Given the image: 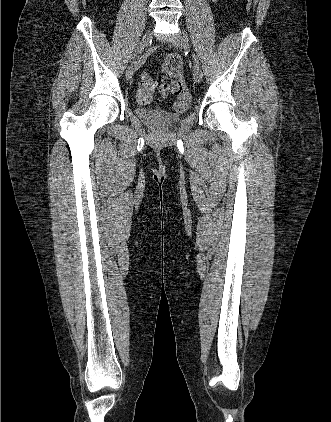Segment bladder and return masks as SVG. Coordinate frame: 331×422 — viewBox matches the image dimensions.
<instances>
[{
    "instance_id": "obj_1",
    "label": "bladder",
    "mask_w": 331,
    "mask_h": 422,
    "mask_svg": "<svg viewBox=\"0 0 331 422\" xmlns=\"http://www.w3.org/2000/svg\"><path fill=\"white\" fill-rule=\"evenodd\" d=\"M186 110L187 108L171 112L160 107H137L135 111L146 124L154 128H163L177 124L180 120V115Z\"/></svg>"
}]
</instances>
